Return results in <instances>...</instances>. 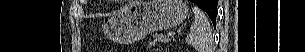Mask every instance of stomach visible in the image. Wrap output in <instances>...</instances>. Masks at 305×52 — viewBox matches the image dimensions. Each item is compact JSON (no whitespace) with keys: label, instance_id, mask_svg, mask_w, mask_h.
<instances>
[{"label":"stomach","instance_id":"0dacf381","mask_svg":"<svg viewBox=\"0 0 305 52\" xmlns=\"http://www.w3.org/2000/svg\"><path fill=\"white\" fill-rule=\"evenodd\" d=\"M187 15L188 7L182 0H137L110 18L104 32L114 42L129 44L153 31L177 26Z\"/></svg>","mask_w":305,"mask_h":52}]
</instances>
